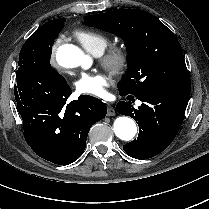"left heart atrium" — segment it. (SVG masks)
<instances>
[{
	"label": "left heart atrium",
	"mask_w": 209,
	"mask_h": 209,
	"mask_svg": "<svg viewBox=\"0 0 209 209\" xmlns=\"http://www.w3.org/2000/svg\"><path fill=\"white\" fill-rule=\"evenodd\" d=\"M107 84L108 79L103 75L84 72L75 81L74 86L80 95L104 98Z\"/></svg>",
	"instance_id": "1"
}]
</instances>
